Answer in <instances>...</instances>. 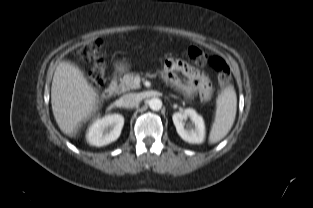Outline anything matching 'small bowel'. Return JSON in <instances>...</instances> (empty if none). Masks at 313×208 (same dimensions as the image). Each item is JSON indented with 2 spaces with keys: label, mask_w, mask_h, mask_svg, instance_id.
<instances>
[{
  "label": "small bowel",
  "mask_w": 313,
  "mask_h": 208,
  "mask_svg": "<svg viewBox=\"0 0 313 208\" xmlns=\"http://www.w3.org/2000/svg\"><path fill=\"white\" fill-rule=\"evenodd\" d=\"M164 68L169 81L184 94L192 95L198 92L203 99L210 97L212 90L211 82L202 71L178 59H167ZM176 72L183 74L186 80L181 81Z\"/></svg>",
  "instance_id": "obj_1"
}]
</instances>
